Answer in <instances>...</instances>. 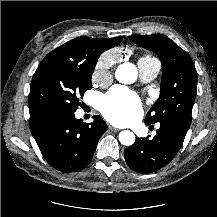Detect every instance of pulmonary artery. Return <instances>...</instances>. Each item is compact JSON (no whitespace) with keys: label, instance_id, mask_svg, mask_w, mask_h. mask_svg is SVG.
<instances>
[{"label":"pulmonary artery","instance_id":"obj_1","mask_svg":"<svg viewBox=\"0 0 217 217\" xmlns=\"http://www.w3.org/2000/svg\"><path fill=\"white\" fill-rule=\"evenodd\" d=\"M140 78L143 82L154 80L159 71L160 64L157 60H142L138 62Z\"/></svg>","mask_w":217,"mask_h":217}]
</instances>
